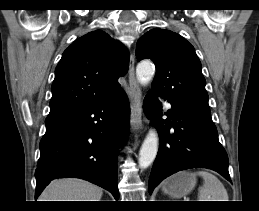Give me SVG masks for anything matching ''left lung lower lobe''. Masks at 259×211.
Masks as SVG:
<instances>
[{
	"instance_id": "left-lung-lower-lobe-1",
	"label": "left lung lower lobe",
	"mask_w": 259,
	"mask_h": 211,
	"mask_svg": "<svg viewBox=\"0 0 259 211\" xmlns=\"http://www.w3.org/2000/svg\"><path fill=\"white\" fill-rule=\"evenodd\" d=\"M156 95L149 90L143 104L145 114L153 120L160 136L149 192L166 177L188 168H209L231 182L228 156L218 140L210 111L168 100L172 108L165 113L168 118L162 120V107Z\"/></svg>"
}]
</instances>
